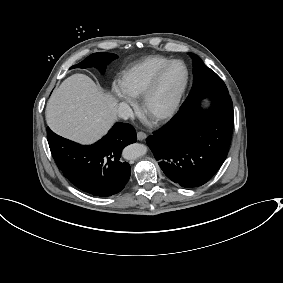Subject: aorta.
<instances>
[{"label":"aorta","instance_id":"1","mask_svg":"<svg viewBox=\"0 0 283 283\" xmlns=\"http://www.w3.org/2000/svg\"><path fill=\"white\" fill-rule=\"evenodd\" d=\"M148 147L144 144L134 143L127 146L123 150V157L127 160H134L140 156H143L147 153Z\"/></svg>","mask_w":283,"mask_h":283}]
</instances>
